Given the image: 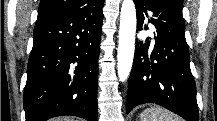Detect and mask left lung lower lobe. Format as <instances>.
Here are the masks:
<instances>
[{
    "label": "left lung lower lobe",
    "instance_id": "0a47b994",
    "mask_svg": "<svg viewBox=\"0 0 217 121\" xmlns=\"http://www.w3.org/2000/svg\"><path fill=\"white\" fill-rule=\"evenodd\" d=\"M137 31L148 21L156 28L154 46L136 44L129 79L126 112L137 105L155 103L187 121H199L196 86L189 65L185 25L181 17L164 0H134Z\"/></svg>",
    "mask_w": 217,
    "mask_h": 121
}]
</instances>
